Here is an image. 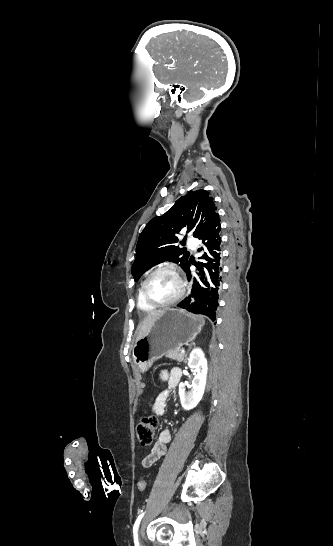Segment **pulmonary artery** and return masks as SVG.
I'll list each match as a JSON object with an SVG mask.
<instances>
[{
  "label": "pulmonary artery",
  "instance_id": "e3ab8cb5",
  "mask_svg": "<svg viewBox=\"0 0 333 546\" xmlns=\"http://www.w3.org/2000/svg\"><path fill=\"white\" fill-rule=\"evenodd\" d=\"M187 243H188V245H189L192 249H195V248H196L197 241H196L195 238H193V237H188V238H187Z\"/></svg>",
  "mask_w": 333,
  "mask_h": 546
}]
</instances>
